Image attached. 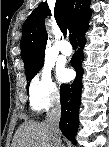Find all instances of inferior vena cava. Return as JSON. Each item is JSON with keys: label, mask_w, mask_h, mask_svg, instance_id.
<instances>
[{"label": "inferior vena cava", "mask_w": 109, "mask_h": 147, "mask_svg": "<svg viewBox=\"0 0 109 147\" xmlns=\"http://www.w3.org/2000/svg\"><path fill=\"white\" fill-rule=\"evenodd\" d=\"M61 117V108L59 105H55L50 109L46 116V124L51 134L53 141V147H62L60 140L59 121Z\"/></svg>", "instance_id": "602c4592"}]
</instances>
